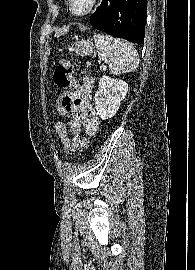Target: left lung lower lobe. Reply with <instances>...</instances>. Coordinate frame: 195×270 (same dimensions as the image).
<instances>
[{
	"instance_id": "left-lung-lower-lobe-1",
	"label": "left lung lower lobe",
	"mask_w": 195,
	"mask_h": 270,
	"mask_svg": "<svg viewBox=\"0 0 195 270\" xmlns=\"http://www.w3.org/2000/svg\"><path fill=\"white\" fill-rule=\"evenodd\" d=\"M146 17L147 0H102L90 24L114 37L143 44Z\"/></svg>"
}]
</instances>
